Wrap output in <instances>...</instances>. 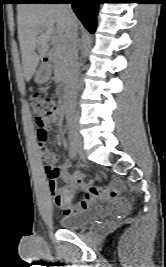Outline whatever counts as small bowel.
<instances>
[{
	"label": "small bowel",
	"mask_w": 166,
	"mask_h": 267,
	"mask_svg": "<svg viewBox=\"0 0 166 267\" xmlns=\"http://www.w3.org/2000/svg\"><path fill=\"white\" fill-rule=\"evenodd\" d=\"M63 115H64L63 108L61 106L57 107L56 111L52 115L47 116L44 119V124H45L46 129L49 127V125L54 124V123H57V125L60 128H62ZM35 131H36V126H35ZM36 136H37V133H36ZM56 140L57 142H61L62 140L61 134L57 135ZM47 161L54 163L57 161V156L55 154H49L47 156ZM69 168H70V162L66 161L64 164H62L61 166L57 168L58 176L53 179L49 178L50 192L54 196L57 206L63 210L65 215L73 214V213L79 212L83 209L90 207L95 202V200L98 198V196L104 199L115 198L117 196L118 194L117 184H114L103 190H102V186L92 187L93 182L100 180L99 176H96L92 180H87L83 175L79 173H74V174L69 173L68 171ZM58 177L64 182L66 186L64 191H61L58 187V183H57ZM78 188L88 191V194L80 202L73 204L69 199L65 197L64 192L73 193ZM98 191H101V192L99 193Z\"/></svg>",
	"instance_id": "obj_1"
}]
</instances>
